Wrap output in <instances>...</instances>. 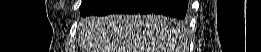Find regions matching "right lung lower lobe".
Wrapping results in <instances>:
<instances>
[{
	"mask_svg": "<svg viewBox=\"0 0 261 52\" xmlns=\"http://www.w3.org/2000/svg\"><path fill=\"white\" fill-rule=\"evenodd\" d=\"M188 0H106L88 15L123 14H161L171 18L184 19Z\"/></svg>",
	"mask_w": 261,
	"mask_h": 52,
	"instance_id": "98d812e1",
	"label": "right lung lower lobe"
}]
</instances>
